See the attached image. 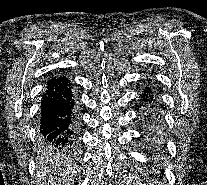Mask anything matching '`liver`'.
I'll list each match as a JSON object with an SVG mask.
<instances>
[{
  "label": "liver",
  "mask_w": 207,
  "mask_h": 185,
  "mask_svg": "<svg viewBox=\"0 0 207 185\" xmlns=\"http://www.w3.org/2000/svg\"><path fill=\"white\" fill-rule=\"evenodd\" d=\"M39 161H40V163H41V161H43L42 167H40V171H41V173H45V171L47 169V165H45V163H44V157H40ZM51 183H53V181H51Z\"/></svg>",
  "instance_id": "6515ba94"
}]
</instances>
